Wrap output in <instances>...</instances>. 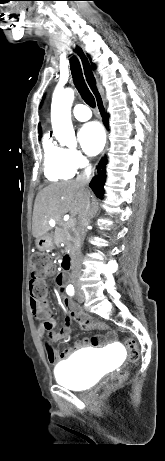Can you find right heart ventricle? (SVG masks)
Returning <instances> with one entry per match:
<instances>
[{"instance_id":"e07e8e85","label":"right heart ventricle","mask_w":165,"mask_h":461,"mask_svg":"<svg viewBox=\"0 0 165 461\" xmlns=\"http://www.w3.org/2000/svg\"><path fill=\"white\" fill-rule=\"evenodd\" d=\"M44 174L50 181L67 180L73 177L75 168L67 158L65 148L56 145L50 137L43 140Z\"/></svg>"}]
</instances>
